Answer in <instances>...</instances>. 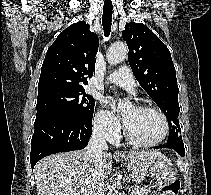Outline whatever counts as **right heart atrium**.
Wrapping results in <instances>:
<instances>
[{"instance_id":"1","label":"right heart atrium","mask_w":211,"mask_h":195,"mask_svg":"<svg viewBox=\"0 0 211 195\" xmlns=\"http://www.w3.org/2000/svg\"><path fill=\"white\" fill-rule=\"evenodd\" d=\"M94 128L104 138L109 141H116L120 134V122L109 110L99 109L94 116Z\"/></svg>"}]
</instances>
